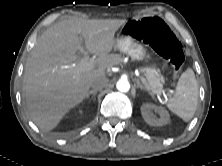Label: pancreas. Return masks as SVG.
<instances>
[{"label":"pancreas","mask_w":222,"mask_h":166,"mask_svg":"<svg viewBox=\"0 0 222 166\" xmlns=\"http://www.w3.org/2000/svg\"><path fill=\"white\" fill-rule=\"evenodd\" d=\"M143 72L146 77V85L150 93L160 96L162 93L164 79L159 74V70L153 68H145L143 69Z\"/></svg>","instance_id":"pancreas-1"}]
</instances>
